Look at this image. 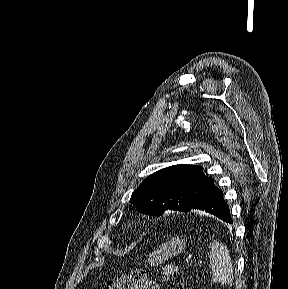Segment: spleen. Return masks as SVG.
Masks as SVG:
<instances>
[{"label":"spleen","instance_id":"3e777b00","mask_svg":"<svg viewBox=\"0 0 288 289\" xmlns=\"http://www.w3.org/2000/svg\"><path fill=\"white\" fill-rule=\"evenodd\" d=\"M210 265L215 282L229 284L233 281V265L229 250L218 241L210 244Z\"/></svg>","mask_w":288,"mask_h":289}]
</instances>
